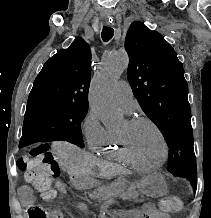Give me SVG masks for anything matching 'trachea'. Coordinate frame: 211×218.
Here are the masks:
<instances>
[{"mask_svg":"<svg viewBox=\"0 0 211 218\" xmlns=\"http://www.w3.org/2000/svg\"><path fill=\"white\" fill-rule=\"evenodd\" d=\"M114 35V30L111 27L104 26L102 29V40L104 42H109Z\"/></svg>","mask_w":211,"mask_h":218,"instance_id":"trachea-1","label":"trachea"}]
</instances>
